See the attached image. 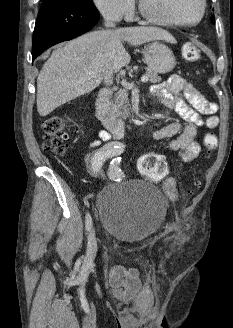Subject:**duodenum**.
<instances>
[{"instance_id": "1", "label": "duodenum", "mask_w": 233, "mask_h": 328, "mask_svg": "<svg viewBox=\"0 0 233 328\" xmlns=\"http://www.w3.org/2000/svg\"><path fill=\"white\" fill-rule=\"evenodd\" d=\"M110 93V89H103L99 92L95 102L96 117L114 136H120L124 130L125 114L120 117L112 114L108 107Z\"/></svg>"}]
</instances>
